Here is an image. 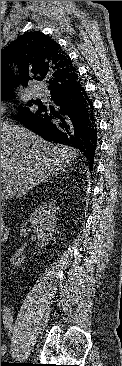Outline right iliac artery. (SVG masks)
<instances>
[{"mask_svg":"<svg viewBox=\"0 0 122 366\" xmlns=\"http://www.w3.org/2000/svg\"><path fill=\"white\" fill-rule=\"evenodd\" d=\"M3 322L5 324V327L9 330L12 331V323H11V317H10V311L9 309H4L3 312Z\"/></svg>","mask_w":122,"mask_h":366,"instance_id":"1","label":"right iliac artery"}]
</instances>
